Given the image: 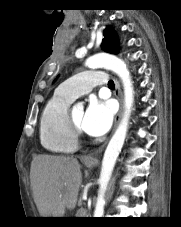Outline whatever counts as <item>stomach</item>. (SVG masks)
I'll return each instance as SVG.
<instances>
[{
	"label": "stomach",
	"mask_w": 181,
	"mask_h": 227,
	"mask_svg": "<svg viewBox=\"0 0 181 227\" xmlns=\"http://www.w3.org/2000/svg\"><path fill=\"white\" fill-rule=\"evenodd\" d=\"M86 167L92 168L94 166V162L91 163H85Z\"/></svg>",
	"instance_id": "stomach-1"
}]
</instances>
